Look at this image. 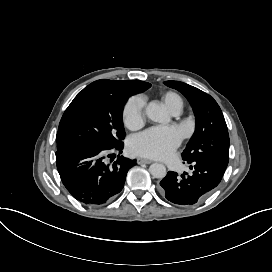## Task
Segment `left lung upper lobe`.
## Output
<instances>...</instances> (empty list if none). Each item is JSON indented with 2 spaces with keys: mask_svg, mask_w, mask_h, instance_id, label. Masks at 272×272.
I'll return each mask as SVG.
<instances>
[{
  "mask_svg": "<svg viewBox=\"0 0 272 272\" xmlns=\"http://www.w3.org/2000/svg\"><path fill=\"white\" fill-rule=\"evenodd\" d=\"M165 85L181 92L190 102L196 116V129L182 153L188 163L209 161L227 167L229 135L222 111L207 93L179 81H165Z\"/></svg>",
  "mask_w": 272,
  "mask_h": 272,
  "instance_id": "1",
  "label": "left lung upper lobe"
}]
</instances>
